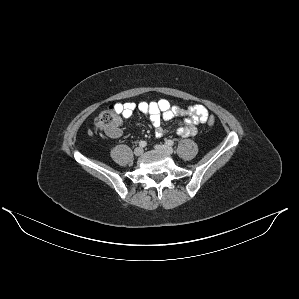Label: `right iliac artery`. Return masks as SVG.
<instances>
[{"instance_id": "right-iliac-artery-1", "label": "right iliac artery", "mask_w": 299, "mask_h": 299, "mask_svg": "<svg viewBox=\"0 0 299 299\" xmlns=\"http://www.w3.org/2000/svg\"><path fill=\"white\" fill-rule=\"evenodd\" d=\"M147 145L146 141H140L139 146L140 147H145Z\"/></svg>"}]
</instances>
